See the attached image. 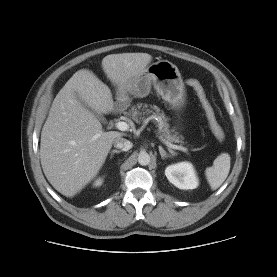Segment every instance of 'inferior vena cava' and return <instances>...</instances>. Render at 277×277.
<instances>
[{
  "instance_id": "obj_1",
  "label": "inferior vena cava",
  "mask_w": 277,
  "mask_h": 277,
  "mask_svg": "<svg viewBox=\"0 0 277 277\" xmlns=\"http://www.w3.org/2000/svg\"><path fill=\"white\" fill-rule=\"evenodd\" d=\"M133 144L125 138H117L114 140V147L121 149L122 151H128L132 148Z\"/></svg>"
}]
</instances>
